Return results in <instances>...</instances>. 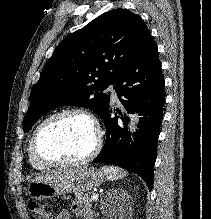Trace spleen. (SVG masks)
Instances as JSON below:
<instances>
[{"label":"spleen","mask_w":211,"mask_h":219,"mask_svg":"<svg viewBox=\"0 0 211 219\" xmlns=\"http://www.w3.org/2000/svg\"><path fill=\"white\" fill-rule=\"evenodd\" d=\"M102 170L107 176V179L111 181L121 179L127 175L126 172H123L122 170L114 166H103Z\"/></svg>","instance_id":"spleen-1"}]
</instances>
